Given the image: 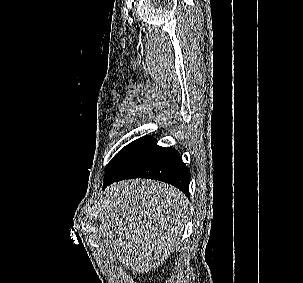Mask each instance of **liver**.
<instances>
[{
	"label": "liver",
	"instance_id": "obj_1",
	"mask_svg": "<svg viewBox=\"0 0 303 283\" xmlns=\"http://www.w3.org/2000/svg\"><path fill=\"white\" fill-rule=\"evenodd\" d=\"M188 201L159 181L133 179L104 191V244L135 274L150 272L167 259L187 222Z\"/></svg>",
	"mask_w": 303,
	"mask_h": 283
}]
</instances>
